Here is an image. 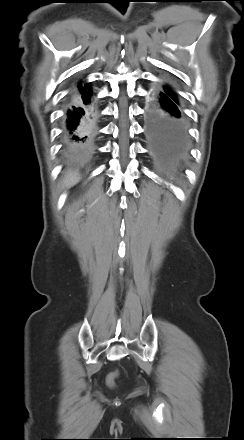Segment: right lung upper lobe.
I'll list each match as a JSON object with an SVG mask.
<instances>
[{"instance_id":"cb5924a9","label":"right lung upper lobe","mask_w":244,"mask_h":440,"mask_svg":"<svg viewBox=\"0 0 244 440\" xmlns=\"http://www.w3.org/2000/svg\"><path fill=\"white\" fill-rule=\"evenodd\" d=\"M75 95L82 97V98H87L89 96H91V88L89 87V85H84L82 86V84H78L77 90L74 91Z\"/></svg>"}]
</instances>
